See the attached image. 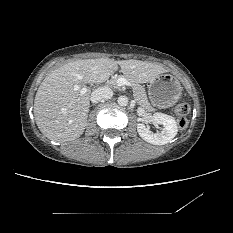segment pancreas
Returning <instances> with one entry per match:
<instances>
[{"mask_svg": "<svg viewBox=\"0 0 233 233\" xmlns=\"http://www.w3.org/2000/svg\"><path fill=\"white\" fill-rule=\"evenodd\" d=\"M120 77H124L125 78V76H121V75H119V76H113L111 78V80L109 81V84L111 86H113L114 88H117L118 87L117 80ZM128 81L131 84V87L133 89V96H134L135 100L137 101V103L140 106H142L143 108L147 109V110H153V108L151 107V105H150V103H149V101L147 99V95H146L145 89L140 84H138L137 82H133V81H130V80H128Z\"/></svg>", "mask_w": 233, "mask_h": 233, "instance_id": "cf45deb5", "label": "pancreas"}]
</instances>
